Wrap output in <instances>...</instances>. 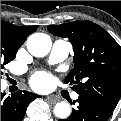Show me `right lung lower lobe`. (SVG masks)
Here are the masks:
<instances>
[{"label":"right lung lower lobe","mask_w":121,"mask_h":121,"mask_svg":"<svg viewBox=\"0 0 121 121\" xmlns=\"http://www.w3.org/2000/svg\"><path fill=\"white\" fill-rule=\"evenodd\" d=\"M4 95L1 93V121H22L29 103L39 98L27 91H17L7 98Z\"/></svg>","instance_id":"right-lung-lower-lobe-1"}]
</instances>
